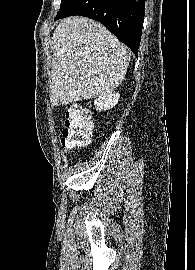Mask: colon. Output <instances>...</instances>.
<instances>
[{"instance_id": "5ec220e1", "label": "colon", "mask_w": 195, "mask_h": 270, "mask_svg": "<svg viewBox=\"0 0 195 270\" xmlns=\"http://www.w3.org/2000/svg\"><path fill=\"white\" fill-rule=\"evenodd\" d=\"M92 128L89 111L81 105H71L65 112L62 145L67 149L86 145L90 140Z\"/></svg>"}]
</instances>
